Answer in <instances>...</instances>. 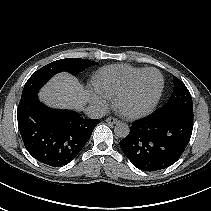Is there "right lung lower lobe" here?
I'll list each match as a JSON object with an SVG mask.
<instances>
[{
	"instance_id": "obj_1",
	"label": "right lung lower lobe",
	"mask_w": 211,
	"mask_h": 211,
	"mask_svg": "<svg viewBox=\"0 0 211 211\" xmlns=\"http://www.w3.org/2000/svg\"><path fill=\"white\" fill-rule=\"evenodd\" d=\"M37 93L21 99L17 110L24 145L43 164L66 165L79 154L100 121L83 119L75 111L48 108Z\"/></svg>"
}]
</instances>
